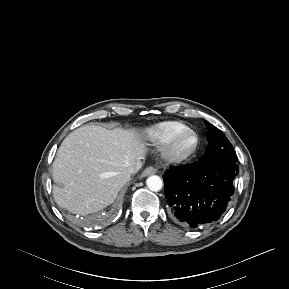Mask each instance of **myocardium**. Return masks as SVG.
Segmentation results:
<instances>
[{
    "label": "myocardium",
    "mask_w": 289,
    "mask_h": 289,
    "mask_svg": "<svg viewBox=\"0 0 289 289\" xmlns=\"http://www.w3.org/2000/svg\"><path fill=\"white\" fill-rule=\"evenodd\" d=\"M188 135H192L194 137L195 143L190 150L180 151L178 149V144L182 138ZM199 145L200 138L198 134L194 130L189 128L187 130L179 132L166 143L162 151V158L165 162L169 164H178L185 162L196 154Z\"/></svg>",
    "instance_id": "obj_1"
}]
</instances>
